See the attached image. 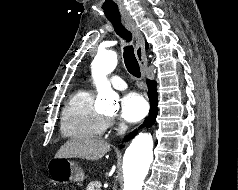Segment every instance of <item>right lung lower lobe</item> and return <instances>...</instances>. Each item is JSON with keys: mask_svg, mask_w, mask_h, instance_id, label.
Segmentation results:
<instances>
[{"mask_svg": "<svg viewBox=\"0 0 238 190\" xmlns=\"http://www.w3.org/2000/svg\"><path fill=\"white\" fill-rule=\"evenodd\" d=\"M147 86H148V97L150 99L151 108H150L149 116L147 117L145 123L141 127H144V126L151 127L155 123L156 116L158 113V108H157L158 93L156 89V82L148 80ZM133 136H135V132L131 134L129 138Z\"/></svg>", "mask_w": 238, "mask_h": 190, "instance_id": "right-lung-lower-lobe-1", "label": "right lung lower lobe"}]
</instances>
